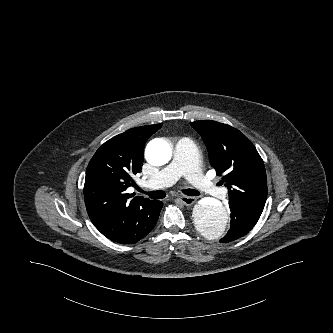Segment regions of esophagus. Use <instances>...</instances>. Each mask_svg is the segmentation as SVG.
Wrapping results in <instances>:
<instances>
[{
  "mask_svg": "<svg viewBox=\"0 0 333 333\" xmlns=\"http://www.w3.org/2000/svg\"><path fill=\"white\" fill-rule=\"evenodd\" d=\"M179 201L186 206H191L196 202L195 197L181 195L178 197Z\"/></svg>",
  "mask_w": 333,
  "mask_h": 333,
  "instance_id": "esophagus-1",
  "label": "esophagus"
}]
</instances>
